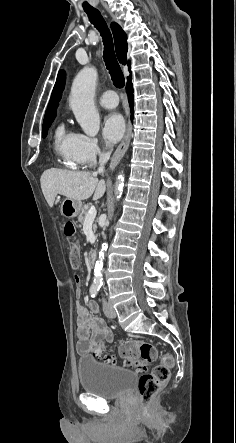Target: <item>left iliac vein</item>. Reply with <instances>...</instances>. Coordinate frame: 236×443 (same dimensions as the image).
<instances>
[{"instance_id": "4c4485c4", "label": "left iliac vein", "mask_w": 236, "mask_h": 443, "mask_svg": "<svg viewBox=\"0 0 236 443\" xmlns=\"http://www.w3.org/2000/svg\"><path fill=\"white\" fill-rule=\"evenodd\" d=\"M104 314L109 318H115L116 317V311L111 305H105L103 307Z\"/></svg>"}]
</instances>
